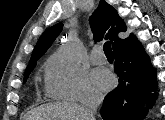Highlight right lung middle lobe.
<instances>
[{
	"instance_id": "obj_1",
	"label": "right lung middle lobe",
	"mask_w": 165,
	"mask_h": 120,
	"mask_svg": "<svg viewBox=\"0 0 165 120\" xmlns=\"http://www.w3.org/2000/svg\"><path fill=\"white\" fill-rule=\"evenodd\" d=\"M35 65H36V62L33 63L32 65H30V66L26 69L25 76H24V82L27 80V77L29 76L30 72L34 69Z\"/></svg>"
}]
</instances>
